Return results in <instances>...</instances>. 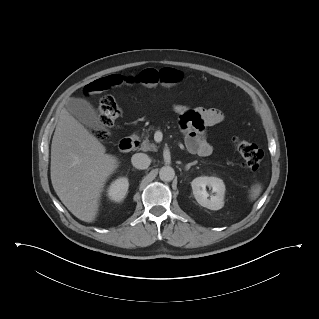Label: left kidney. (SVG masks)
<instances>
[{
	"instance_id": "5707ae66",
	"label": "left kidney",
	"mask_w": 319,
	"mask_h": 319,
	"mask_svg": "<svg viewBox=\"0 0 319 319\" xmlns=\"http://www.w3.org/2000/svg\"><path fill=\"white\" fill-rule=\"evenodd\" d=\"M196 201L210 210H219L224 206L225 185L217 177L201 176L191 182ZM206 187L212 188L213 195L209 197Z\"/></svg>"
}]
</instances>
